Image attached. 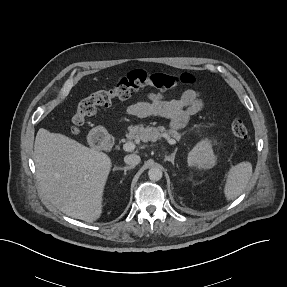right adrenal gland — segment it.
<instances>
[{"label": "right adrenal gland", "instance_id": "obj_1", "mask_svg": "<svg viewBox=\"0 0 287 287\" xmlns=\"http://www.w3.org/2000/svg\"><path fill=\"white\" fill-rule=\"evenodd\" d=\"M134 167H132V166H126V167H115L114 168V170H123L124 171V175H126V172L128 171V170H131V169H133Z\"/></svg>", "mask_w": 287, "mask_h": 287}]
</instances>
